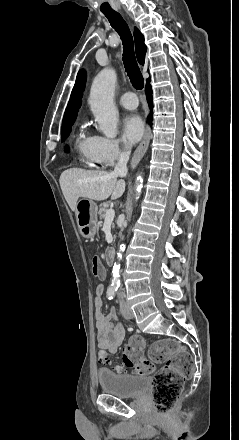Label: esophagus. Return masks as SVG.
<instances>
[{"label": "esophagus", "instance_id": "esophagus-1", "mask_svg": "<svg viewBox=\"0 0 239 440\" xmlns=\"http://www.w3.org/2000/svg\"><path fill=\"white\" fill-rule=\"evenodd\" d=\"M150 135H151V129L149 126H147L145 133L143 135V138L141 140V143L138 145L135 152L133 153V156H132V159L130 162L131 168H134L136 166V164L139 162V160H141V158L145 154V152L148 148L149 141H150Z\"/></svg>", "mask_w": 239, "mask_h": 440}]
</instances>
